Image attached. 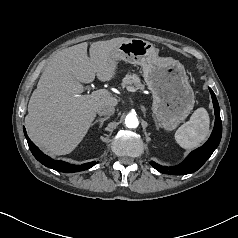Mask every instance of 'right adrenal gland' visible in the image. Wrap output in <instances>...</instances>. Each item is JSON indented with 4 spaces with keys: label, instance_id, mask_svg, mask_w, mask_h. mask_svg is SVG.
<instances>
[{
    "label": "right adrenal gland",
    "instance_id": "right-adrenal-gland-1",
    "mask_svg": "<svg viewBox=\"0 0 238 238\" xmlns=\"http://www.w3.org/2000/svg\"><path fill=\"white\" fill-rule=\"evenodd\" d=\"M108 119H109V116L104 117V118H99V119L95 120L91 125H94L99 122L100 123L99 128H101L103 126L104 122Z\"/></svg>",
    "mask_w": 238,
    "mask_h": 238
}]
</instances>
